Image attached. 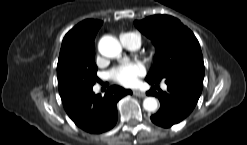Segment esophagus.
<instances>
[{
	"mask_svg": "<svg viewBox=\"0 0 247 145\" xmlns=\"http://www.w3.org/2000/svg\"><path fill=\"white\" fill-rule=\"evenodd\" d=\"M133 94L137 97H141V98L145 97V93L140 90H134Z\"/></svg>",
	"mask_w": 247,
	"mask_h": 145,
	"instance_id": "34e87169",
	"label": "esophagus"
}]
</instances>
